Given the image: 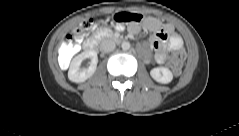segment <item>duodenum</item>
<instances>
[{"mask_svg": "<svg viewBox=\"0 0 239 136\" xmlns=\"http://www.w3.org/2000/svg\"><path fill=\"white\" fill-rule=\"evenodd\" d=\"M118 42H122L121 38H115ZM98 47V39L92 38L83 43V48L87 51H95Z\"/></svg>", "mask_w": 239, "mask_h": 136, "instance_id": "1", "label": "duodenum"}]
</instances>
